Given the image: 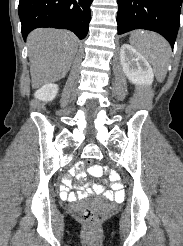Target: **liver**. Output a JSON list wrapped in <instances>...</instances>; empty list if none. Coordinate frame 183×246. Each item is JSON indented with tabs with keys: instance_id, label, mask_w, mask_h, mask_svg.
Segmentation results:
<instances>
[{
	"instance_id": "liver-1",
	"label": "liver",
	"mask_w": 183,
	"mask_h": 246,
	"mask_svg": "<svg viewBox=\"0 0 183 246\" xmlns=\"http://www.w3.org/2000/svg\"><path fill=\"white\" fill-rule=\"evenodd\" d=\"M78 47L70 31L36 29L28 36L30 74L33 88L61 80L68 73Z\"/></svg>"
}]
</instances>
